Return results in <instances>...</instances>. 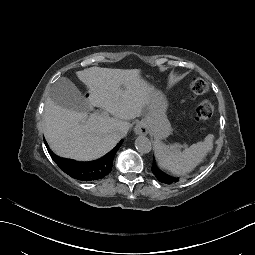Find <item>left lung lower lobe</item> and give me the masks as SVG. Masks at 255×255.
<instances>
[{"label":"left lung lower lobe","instance_id":"1","mask_svg":"<svg viewBox=\"0 0 255 255\" xmlns=\"http://www.w3.org/2000/svg\"><path fill=\"white\" fill-rule=\"evenodd\" d=\"M157 164H159L158 159H154L153 166H149V171H151L152 176L156 177V179H161V182L163 184H173V182H174L173 174H171L169 172L159 173L158 170L156 169ZM158 168H160V171H164V168H161V165H158ZM168 176H170V177H168ZM175 180H178V177H175Z\"/></svg>","mask_w":255,"mask_h":255}]
</instances>
